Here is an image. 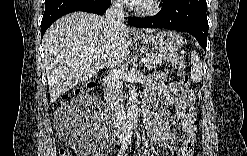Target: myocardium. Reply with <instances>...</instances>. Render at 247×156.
Segmentation results:
<instances>
[{"instance_id":"1","label":"myocardium","mask_w":247,"mask_h":156,"mask_svg":"<svg viewBox=\"0 0 247 156\" xmlns=\"http://www.w3.org/2000/svg\"><path fill=\"white\" fill-rule=\"evenodd\" d=\"M158 10V2L156 0L146 1L144 4L134 8V12L138 16H149L156 13Z\"/></svg>"}]
</instances>
